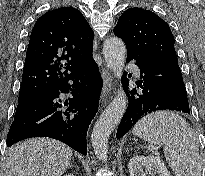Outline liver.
<instances>
[{"mask_svg":"<svg viewBox=\"0 0 205 176\" xmlns=\"http://www.w3.org/2000/svg\"><path fill=\"white\" fill-rule=\"evenodd\" d=\"M72 150L49 138H32L10 149L7 176H62L70 164Z\"/></svg>","mask_w":205,"mask_h":176,"instance_id":"liver-1","label":"liver"}]
</instances>
